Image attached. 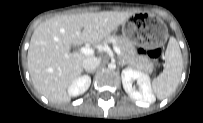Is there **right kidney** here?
Here are the masks:
<instances>
[{
	"label": "right kidney",
	"instance_id": "ca27d5eb",
	"mask_svg": "<svg viewBox=\"0 0 203 123\" xmlns=\"http://www.w3.org/2000/svg\"><path fill=\"white\" fill-rule=\"evenodd\" d=\"M91 84V77L83 75L75 79L68 88L69 96L76 97L85 93Z\"/></svg>",
	"mask_w": 203,
	"mask_h": 123
}]
</instances>
